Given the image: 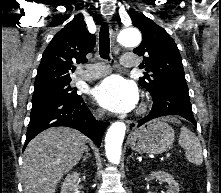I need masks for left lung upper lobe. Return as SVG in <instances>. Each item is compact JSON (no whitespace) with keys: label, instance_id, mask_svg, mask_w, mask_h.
<instances>
[{"label":"left lung upper lobe","instance_id":"1","mask_svg":"<svg viewBox=\"0 0 221 193\" xmlns=\"http://www.w3.org/2000/svg\"><path fill=\"white\" fill-rule=\"evenodd\" d=\"M133 25L143 34V41L133 52L144 57V66L150 75L139 78V84L151 95L170 84H186L178 47L169 34L143 14H131Z\"/></svg>","mask_w":221,"mask_h":193}]
</instances>
